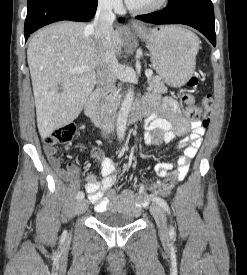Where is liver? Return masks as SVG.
<instances>
[{
  "mask_svg": "<svg viewBox=\"0 0 247 275\" xmlns=\"http://www.w3.org/2000/svg\"><path fill=\"white\" fill-rule=\"evenodd\" d=\"M124 38L113 30L115 54L122 53ZM37 126L42 138L73 122L96 84V70L114 71L104 46L97 44L87 25L64 21L40 30L27 49ZM86 66L83 72H72Z\"/></svg>",
  "mask_w": 247,
  "mask_h": 275,
  "instance_id": "liver-1",
  "label": "liver"
}]
</instances>
